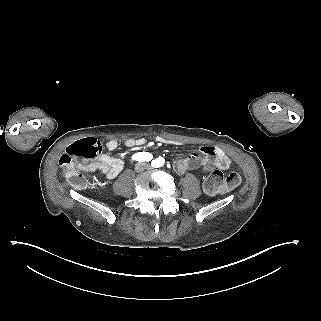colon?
<instances>
[{
  "label": "colon",
  "mask_w": 321,
  "mask_h": 321,
  "mask_svg": "<svg viewBox=\"0 0 321 321\" xmlns=\"http://www.w3.org/2000/svg\"><path fill=\"white\" fill-rule=\"evenodd\" d=\"M101 153L100 144L94 139H87L73 143L59 159L62 175L74 188L82 189L87 180L84 173L77 166L78 159H93ZM242 180L239 171L227 175L219 170L213 171L204 181V189L209 194H222L237 188Z\"/></svg>",
  "instance_id": "colon-1"
}]
</instances>
